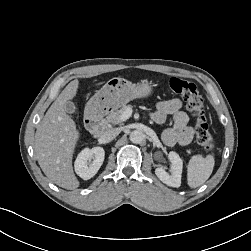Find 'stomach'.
<instances>
[{"label": "stomach", "instance_id": "obj_1", "mask_svg": "<svg viewBox=\"0 0 251 251\" xmlns=\"http://www.w3.org/2000/svg\"><path fill=\"white\" fill-rule=\"evenodd\" d=\"M154 91V85L143 80L134 84L124 78H112L87 102L85 111L100 116L125 105L136 98H146Z\"/></svg>", "mask_w": 251, "mask_h": 251}]
</instances>
